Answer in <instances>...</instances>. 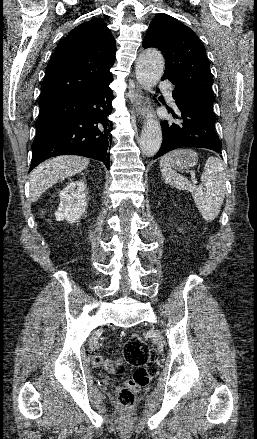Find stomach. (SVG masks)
<instances>
[{
  "label": "stomach",
  "instance_id": "obj_1",
  "mask_svg": "<svg viewBox=\"0 0 257 439\" xmlns=\"http://www.w3.org/2000/svg\"><path fill=\"white\" fill-rule=\"evenodd\" d=\"M198 162L196 152L189 149H180L174 151L171 157V166L179 171L193 167Z\"/></svg>",
  "mask_w": 257,
  "mask_h": 439
}]
</instances>
